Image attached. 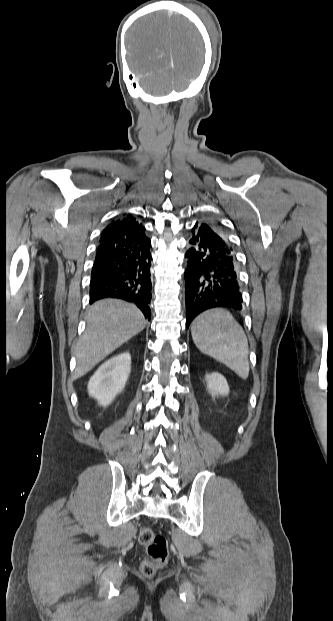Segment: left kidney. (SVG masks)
<instances>
[{"instance_id":"1","label":"left kidney","mask_w":333,"mask_h":621,"mask_svg":"<svg viewBox=\"0 0 333 621\" xmlns=\"http://www.w3.org/2000/svg\"><path fill=\"white\" fill-rule=\"evenodd\" d=\"M207 389L212 397L229 394V386L226 379L219 373L214 372L206 375Z\"/></svg>"}]
</instances>
